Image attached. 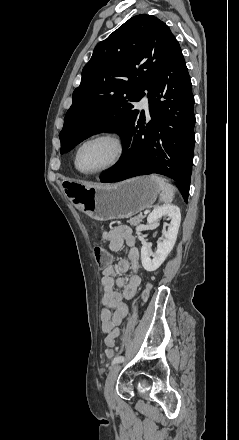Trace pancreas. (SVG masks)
I'll return each mask as SVG.
<instances>
[{
  "label": "pancreas",
  "mask_w": 239,
  "mask_h": 440,
  "mask_svg": "<svg viewBox=\"0 0 239 440\" xmlns=\"http://www.w3.org/2000/svg\"><path fill=\"white\" fill-rule=\"evenodd\" d=\"M143 218H145V216H134V218H130V220H127V222L130 224V226H139Z\"/></svg>",
  "instance_id": "cf45deb5"
}]
</instances>
